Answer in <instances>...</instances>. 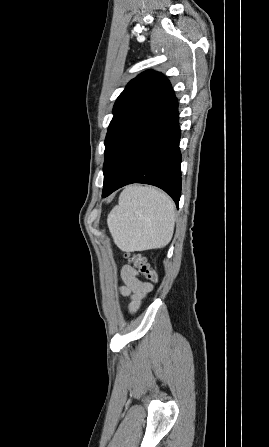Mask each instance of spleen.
I'll return each instance as SVG.
<instances>
[{"label": "spleen", "instance_id": "obj_1", "mask_svg": "<svg viewBox=\"0 0 269 447\" xmlns=\"http://www.w3.org/2000/svg\"><path fill=\"white\" fill-rule=\"evenodd\" d=\"M107 225L122 251L164 247L172 239L175 206L171 198L151 186H125Z\"/></svg>", "mask_w": 269, "mask_h": 447}]
</instances>
